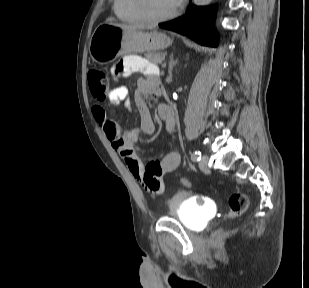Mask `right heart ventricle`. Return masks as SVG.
I'll use <instances>...</instances> for the list:
<instances>
[{
  "instance_id": "obj_1",
  "label": "right heart ventricle",
  "mask_w": 309,
  "mask_h": 288,
  "mask_svg": "<svg viewBox=\"0 0 309 288\" xmlns=\"http://www.w3.org/2000/svg\"><path fill=\"white\" fill-rule=\"evenodd\" d=\"M115 15L123 22L130 24H143L146 21L140 15L136 0H114Z\"/></svg>"
}]
</instances>
